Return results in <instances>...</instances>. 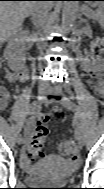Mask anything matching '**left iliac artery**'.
Instances as JSON below:
<instances>
[{
	"label": "left iliac artery",
	"instance_id": "1",
	"mask_svg": "<svg viewBox=\"0 0 104 189\" xmlns=\"http://www.w3.org/2000/svg\"><path fill=\"white\" fill-rule=\"evenodd\" d=\"M57 95L58 96H62V101L65 102L67 104V106H69L74 112H75V118L77 117V113H78V108L75 104H73L72 102H70V100L63 95V92L61 89H59L57 91ZM79 127V125H74V128Z\"/></svg>",
	"mask_w": 104,
	"mask_h": 189
}]
</instances>
